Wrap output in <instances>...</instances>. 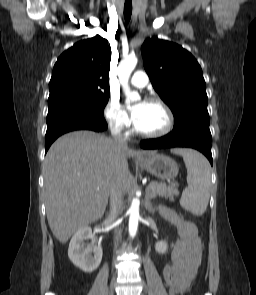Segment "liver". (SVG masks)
I'll use <instances>...</instances> for the list:
<instances>
[{"instance_id": "6515ba94", "label": "liver", "mask_w": 256, "mask_h": 295, "mask_svg": "<svg viewBox=\"0 0 256 295\" xmlns=\"http://www.w3.org/2000/svg\"><path fill=\"white\" fill-rule=\"evenodd\" d=\"M138 153L102 134L75 131L58 138L43 164L46 214L53 235L66 243L80 228L99 220L114 178L124 193L131 186L127 159Z\"/></svg>"}]
</instances>
